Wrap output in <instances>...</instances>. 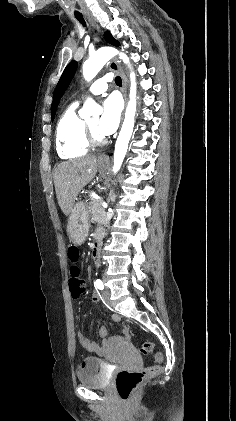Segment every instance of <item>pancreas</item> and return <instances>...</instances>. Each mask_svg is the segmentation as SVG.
I'll use <instances>...</instances> for the list:
<instances>
[{"instance_id": "cf45deb5", "label": "pancreas", "mask_w": 236, "mask_h": 421, "mask_svg": "<svg viewBox=\"0 0 236 421\" xmlns=\"http://www.w3.org/2000/svg\"><path fill=\"white\" fill-rule=\"evenodd\" d=\"M90 215L92 217V223H97L98 227L100 225H104V227H108L109 221L106 217V211L104 206L101 204V200H98V198H93L90 194Z\"/></svg>"}]
</instances>
